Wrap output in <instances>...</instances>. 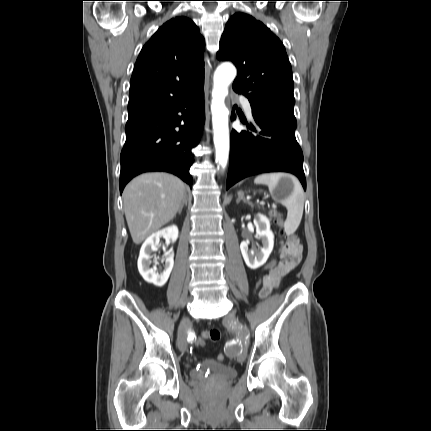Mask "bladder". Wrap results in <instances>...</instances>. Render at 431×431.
I'll use <instances>...</instances> for the list:
<instances>
[{
  "mask_svg": "<svg viewBox=\"0 0 431 431\" xmlns=\"http://www.w3.org/2000/svg\"><path fill=\"white\" fill-rule=\"evenodd\" d=\"M195 380L227 381L237 375L234 367L214 360H205L190 371Z\"/></svg>",
  "mask_w": 431,
  "mask_h": 431,
  "instance_id": "bladder-1",
  "label": "bladder"
}]
</instances>
